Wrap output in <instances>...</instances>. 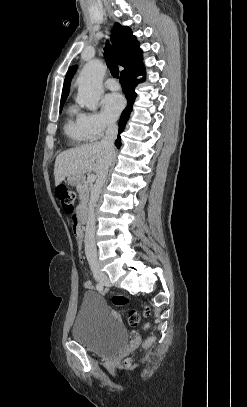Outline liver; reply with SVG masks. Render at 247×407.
Segmentation results:
<instances>
[{"mask_svg": "<svg viewBox=\"0 0 247 407\" xmlns=\"http://www.w3.org/2000/svg\"><path fill=\"white\" fill-rule=\"evenodd\" d=\"M112 158L113 152L103 147L100 142L64 151L58 155L55 161V185H59L71 175L83 176L86 172L94 171L98 176Z\"/></svg>", "mask_w": 247, "mask_h": 407, "instance_id": "1", "label": "liver"}]
</instances>
